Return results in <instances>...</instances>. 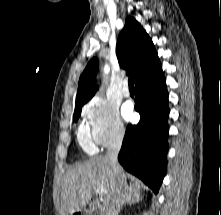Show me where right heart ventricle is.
Returning <instances> with one entry per match:
<instances>
[{"label": "right heart ventricle", "instance_id": "e07e8e85", "mask_svg": "<svg viewBox=\"0 0 221 215\" xmlns=\"http://www.w3.org/2000/svg\"><path fill=\"white\" fill-rule=\"evenodd\" d=\"M78 141L80 146L88 153H92L96 150L93 139L87 128L81 127L78 132Z\"/></svg>", "mask_w": 221, "mask_h": 215}]
</instances>
